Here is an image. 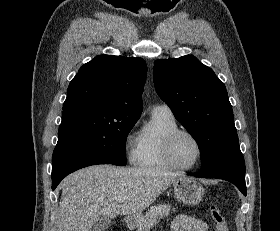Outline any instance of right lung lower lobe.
<instances>
[{"mask_svg": "<svg viewBox=\"0 0 280 231\" xmlns=\"http://www.w3.org/2000/svg\"><path fill=\"white\" fill-rule=\"evenodd\" d=\"M96 164L110 163L76 152H54L52 157V190H55L61 180L68 174L78 169Z\"/></svg>", "mask_w": 280, "mask_h": 231, "instance_id": "obj_1", "label": "right lung lower lobe"}]
</instances>
